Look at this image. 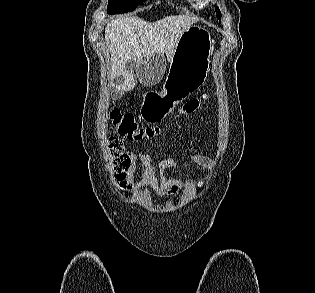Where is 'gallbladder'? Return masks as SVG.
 <instances>
[{
  "label": "gallbladder",
  "mask_w": 315,
  "mask_h": 293,
  "mask_svg": "<svg viewBox=\"0 0 315 293\" xmlns=\"http://www.w3.org/2000/svg\"><path fill=\"white\" fill-rule=\"evenodd\" d=\"M122 80H123L122 77H121V76H118V77H116L115 82H116V83H121Z\"/></svg>",
  "instance_id": "1"
}]
</instances>
